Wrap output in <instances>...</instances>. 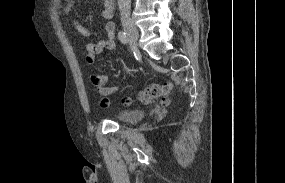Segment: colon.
I'll return each mask as SVG.
<instances>
[{"mask_svg":"<svg viewBox=\"0 0 285 183\" xmlns=\"http://www.w3.org/2000/svg\"><path fill=\"white\" fill-rule=\"evenodd\" d=\"M124 102H125V104H127V105H131V104H132V99H131V98H126V99L124 100Z\"/></svg>","mask_w":285,"mask_h":183,"instance_id":"5ec220e1","label":"colon"}]
</instances>
